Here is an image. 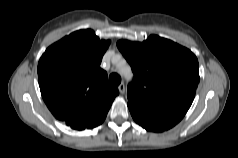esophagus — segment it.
Returning a JSON list of instances; mask_svg holds the SVG:
<instances>
[{"label": "esophagus", "mask_w": 238, "mask_h": 158, "mask_svg": "<svg viewBox=\"0 0 238 158\" xmlns=\"http://www.w3.org/2000/svg\"><path fill=\"white\" fill-rule=\"evenodd\" d=\"M118 90L121 94H124L125 93V85L124 83H121L119 86H118Z\"/></svg>", "instance_id": "esophagus-1"}]
</instances>
